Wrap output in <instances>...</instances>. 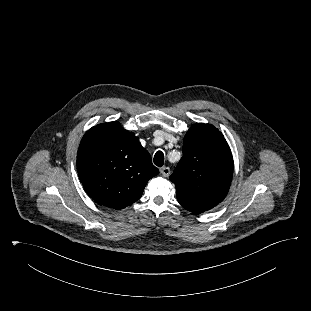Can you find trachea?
Segmentation results:
<instances>
[{
	"label": "trachea",
	"instance_id": "3493384b",
	"mask_svg": "<svg viewBox=\"0 0 311 311\" xmlns=\"http://www.w3.org/2000/svg\"><path fill=\"white\" fill-rule=\"evenodd\" d=\"M154 164L158 167H162L164 164V154L162 151H157L154 156Z\"/></svg>",
	"mask_w": 311,
	"mask_h": 311
}]
</instances>
